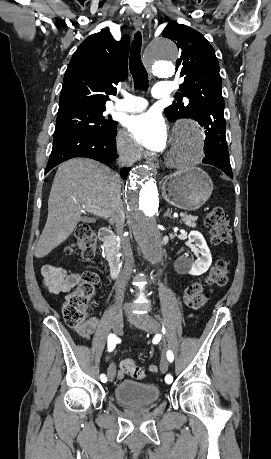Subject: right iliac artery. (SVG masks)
<instances>
[{"mask_svg": "<svg viewBox=\"0 0 271 459\" xmlns=\"http://www.w3.org/2000/svg\"><path fill=\"white\" fill-rule=\"evenodd\" d=\"M117 343H118V338L116 337V335L110 334L108 336V350L109 351L114 350V348H115ZM100 379H101V381H104V382L107 381V378H106L105 374H101L100 375Z\"/></svg>", "mask_w": 271, "mask_h": 459, "instance_id": "1", "label": "right iliac artery"}]
</instances>
